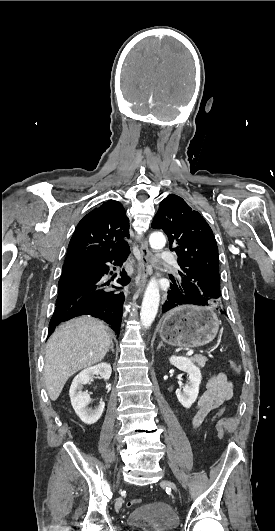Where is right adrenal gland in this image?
<instances>
[{"instance_id": "1", "label": "right adrenal gland", "mask_w": 275, "mask_h": 531, "mask_svg": "<svg viewBox=\"0 0 275 531\" xmlns=\"http://www.w3.org/2000/svg\"><path fill=\"white\" fill-rule=\"evenodd\" d=\"M110 349H111L112 353H115L113 341H111V343H110ZM110 349H109V351H110ZM109 351H108V353H109Z\"/></svg>"}]
</instances>
